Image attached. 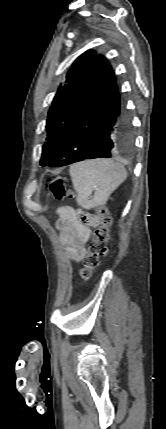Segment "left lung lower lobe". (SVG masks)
<instances>
[{
  "mask_svg": "<svg viewBox=\"0 0 166 429\" xmlns=\"http://www.w3.org/2000/svg\"><path fill=\"white\" fill-rule=\"evenodd\" d=\"M133 140L131 120L110 63L97 55L89 80L72 110L64 133L42 167H61L85 159L126 152Z\"/></svg>",
  "mask_w": 166,
  "mask_h": 429,
  "instance_id": "1",
  "label": "left lung lower lobe"
}]
</instances>
